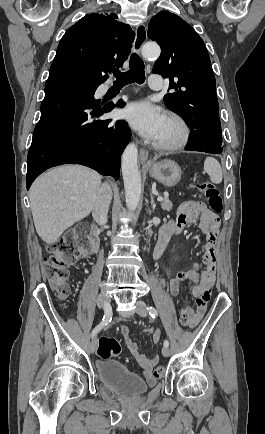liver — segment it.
Instances as JSON below:
<instances>
[{
  "mask_svg": "<svg viewBox=\"0 0 265 434\" xmlns=\"http://www.w3.org/2000/svg\"><path fill=\"white\" fill-rule=\"evenodd\" d=\"M101 186V176L84 166H60L33 182L30 204L36 232L55 244L63 232L89 216Z\"/></svg>",
  "mask_w": 265,
  "mask_h": 434,
  "instance_id": "liver-1",
  "label": "liver"
}]
</instances>
